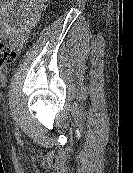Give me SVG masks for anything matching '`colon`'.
<instances>
[{
	"label": "colon",
	"mask_w": 133,
	"mask_h": 173,
	"mask_svg": "<svg viewBox=\"0 0 133 173\" xmlns=\"http://www.w3.org/2000/svg\"><path fill=\"white\" fill-rule=\"evenodd\" d=\"M17 57L16 43L14 40H5L0 37V66L13 63Z\"/></svg>",
	"instance_id": "1"
}]
</instances>
